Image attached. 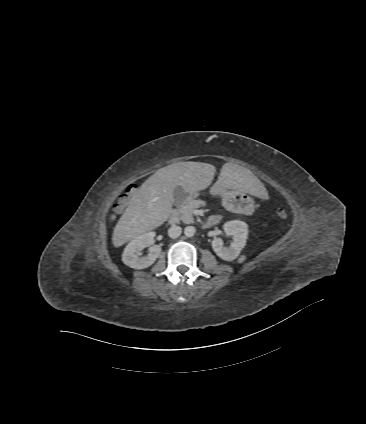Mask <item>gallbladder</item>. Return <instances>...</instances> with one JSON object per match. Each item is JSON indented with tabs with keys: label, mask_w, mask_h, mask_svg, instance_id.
Returning <instances> with one entry per match:
<instances>
[{
	"label": "gallbladder",
	"mask_w": 366,
	"mask_h": 424,
	"mask_svg": "<svg viewBox=\"0 0 366 424\" xmlns=\"http://www.w3.org/2000/svg\"><path fill=\"white\" fill-rule=\"evenodd\" d=\"M173 195L175 203L178 204L185 197V192L181 186H177L174 189Z\"/></svg>",
	"instance_id": "obj_1"
}]
</instances>
